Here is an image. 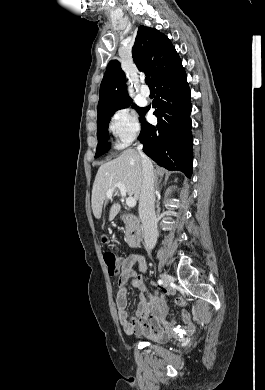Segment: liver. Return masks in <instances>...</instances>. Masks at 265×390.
<instances>
[{
  "mask_svg": "<svg viewBox=\"0 0 265 390\" xmlns=\"http://www.w3.org/2000/svg\"><path fill=\"white\" fill-rule=\"evenodd\" d=\"M143 182V168L140 154L135 149L124 150L116 159L102 164L96 174L92 188V210L96 218H100L106 193L116 183H123L129 196L140 198ZM118 188L113 193L118 195ZM121 206L113 203L109 210V220L119 213Z\"/></svg>",
  "mask_w": 265,
  "mask_h": 390,
  "instance_id": "6515ba94",
  "label": "liver"
}]
</instances>
